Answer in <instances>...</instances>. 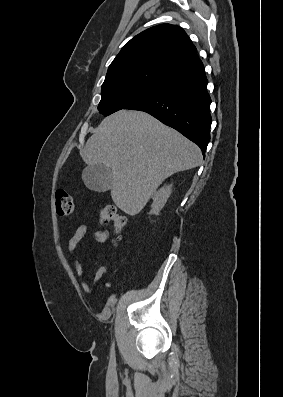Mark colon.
Wrapping results in <instances>:
<instances>
[{
	"label": "colon",
	"mask_w": 283,
	"mask_h": 397,
	"mask_svg": "<svg viewBox=\"0 0 283 397\" xmlns=\"http://www.w3.org/2000/svg\"><path fill=\"white\" fill-rule=\"evenodd\" d=\"M56 210L59 215H70L75 210L73 197L64 189L55 193ZM100 220L103 223H112L115 232L120 236L125 232L126 218L117 213L116 209L107 205L100 210Z\"/></svg>",
	"instance_id": "colon-1"
}]
</instances>
